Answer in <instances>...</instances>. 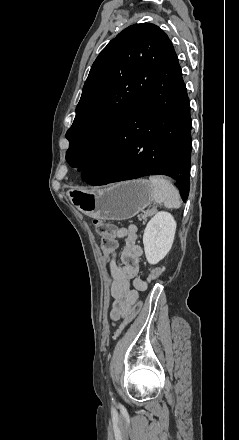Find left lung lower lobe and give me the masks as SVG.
Masks as SVG:
<instances>
[{
  "instance_id": "1",
  "label": "left lung lower lobe",
  "mask_w": 239,
  "mask_h": 440,
  "mask_svg": "<svg viewBox=\"0 0 239 440\" xmlns=\"http://www.w3.org/2000/svg\"><path fill=\"white\" fill-rule=\"evenodd\" d=\"M192 120L182 71L174 53L130 114L113 130L82 180L105 185L150 174L175 179L189 194Z\"/></svg>"
}]
</instances>
